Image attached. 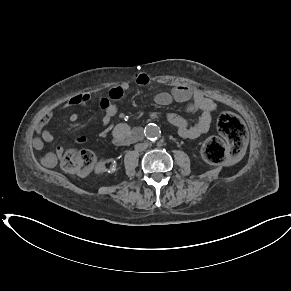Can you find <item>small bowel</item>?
I'll use <instances>...</instances> for the list:
<instances>
[{
  "label": "small bowel",
  "instance_id": "small-bowel-1",
  "mask_svg": "<svg viewBox=\"0 0 291 291\" xmlns=\"http://www.w3.org/2000/svg\"><path fill=\"white\" fill-rule=\"evenodd\" d=\"M133 81L138 86H147L150 82V78L145 73L135 74ZM131 84L128 81H124L114 87H112L107 96L101 97L99 100L100 105V118L103 126L108 127L111 118L116 115L118 111V104L123 99L126 92L130 89ZM91 99L90 94L81 93L71 97L67 102L63 103L57 110H50L44 114L39 120L36 126V132L39 135L33 139V146L36 149H42L44 143H51L54 140L53 134L46 128L49 121L54 117L58 110H62L68 107L86 104ZM173 101L186 103V110L188 112L201 111V115L198 120L190 124L189 121L177 114H168L167 119L178 130L179 135L182 138L194 139L201 135L206 134L212 123V112L215 110V103L207 98L202 91L185 86H175L170 92H159L154 96V102L160 106H167ZM71 122L78 120V114L72 113L69 116ZM133 131L126 123H118L112 128V134L114 139H127ZM86 137L81 136L76 139V142H85ZM64 154V147L57 146L55 153L47 154L42 158V162L45 165H52L56 159H59Z\"/></svg>",
  "mask_w": 291,
  "mask_h": 291
}]
</instances>
